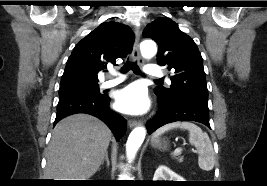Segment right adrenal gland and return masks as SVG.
I'll use <instances>...</instances> for the list:
<instances>
[{"instance_id":"2a0ac1e0","label":"right adrenal gland","mask_w":267,"mask_h":186,"mask_svg":"<svg viewBox=\"0 0 267 186\" xmlns=\"http://www.w3.org/2000/svg\"><path fill=\"white\" fill-rule=\"evenodd\" d=\"M105 161H106V163H107V167H109V165H110V161H109V157H108V152H107V151H106V153H105V157H104V159H103L102 162H101V165H103Z\"/></svg>"}]
</instances>
